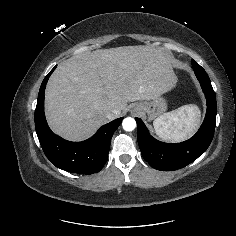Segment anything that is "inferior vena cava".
<instances>
[{"label":"inferior vena cava","mask_w":236,"mask_h":236,"mask_svg":"<svg viewBox=\"0 0 236 236\" xmlns=\"http://www.w3.org/2000/svg\"><path fill=\"white\" fill-rule=\"evenodd\" d=\"M117 112L114 110V111H112L111 113H107L106 114V117L108 118V119H113L114 118V115L116 114Z\"/></svg>","instance_id":"602c4592"}]
</instances>
